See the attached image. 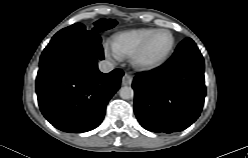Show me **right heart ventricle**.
<instances>
[{"mask_svg":"<svg viewBox=\"0 0 248 158\" xmlns=\"http://www.w3.org/2000/svg\"><path fill=\"white\" fill-rule=\"evenodd\" d=\"M154 30L140 28L120 32L111 39L112 49L121 57H131Z\"/></svg>","mask_w":248,"mask_h":158,"instance_id":"right-heart-ventricle-1","label":"right heart ventricle"}]
</instances>
